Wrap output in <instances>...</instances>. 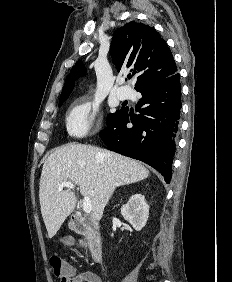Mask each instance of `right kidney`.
<instances>
[{"mask_svg":"<svg viewBox=\"0 0 232 282\" xmlns=\"http://www.w3.org/2000/svg\"><path fill=\"white\" fill-rule=\"evenodd\" d=\"M121 215L130 222L136 231H140L148 220L149 205L142 194L133 195L128 202L122 206Z\"/></svg>","mask_w":232,"mask_h":282,"instance_id":"obj_1","label":"right kidney"}]
</instances>
